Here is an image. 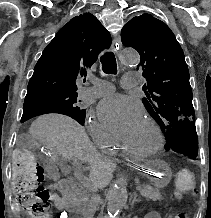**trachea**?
Wrapping results in <instances>:
<instances>
[{
    "label": "trachea",
    "instance_id": "3493384b",
    "mask_svg": "<svg viewBox=\"0 0 211 218\" xmlns=\"http://www.w3.org/2000/svg\"><path fill=\"white\" fill-rule=\"evenodd\" d=\"M102 70L107 75L117 74V62L112 52H105L101 57Z\"/></svg>",
    "mask_w": 211,
    "mask_h": 218
}]
</instances>
